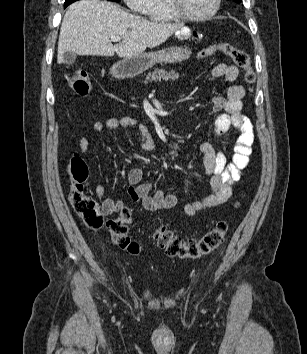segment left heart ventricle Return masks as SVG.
Masks as SVG:
<instances>
[{
  "label": "left heart ventricle",
  "instance_id": "b2bd125f",
  "mask_svg": "<svg viewBox=\"0 0 307 354\" xmlns=\"http://www.w3.org/2000/svg\"><path fill=\"white\" fill-rule=\"evenodd\" d=\"M215 0H183L185 11L192 15H201L210 11Z\"/></svg>",
  "mask_w": 307,
  "mask_h": 354
}]
</instances>
